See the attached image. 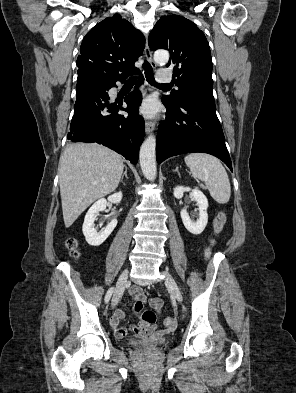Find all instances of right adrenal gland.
Masks as SVG:
<instances>
[{"label": "right adrenal gland", "mask_w": 296, "mask_h": 393, "mask_svg": "<svg viewBox=\"0 0 296 393\" xmlns=\"http://www.w3.org/2000/svg\"><path fill=\"white\" fill-rule=\"evenodd\" d=\"M124 167H125V172H124V174H123L122 177H121V182H123L124 177H126V179H128V176H127V166L124 165Z\"/></svg>", "instance_id": "obj_1"}]
</instances>
